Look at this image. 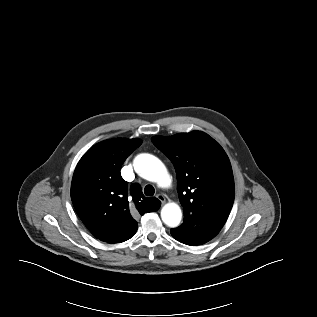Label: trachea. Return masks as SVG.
I'll use <instances>...</instances> for the list:
<instances>
[{
    "label": "trachea",
    "instance_id": "1",
    "mask_svg": "<svg viewBox=\"0 0 317 317\" xmlns=\"http://www.w3.org/2000/svg\"><path fill=\"white\" fill-rule=\"evenodd\" d=\"M144 193L146 196H153L155 193V189L152 185H147L144 189Z\"/></svg>",
    "mask_w": 317,
    "mask_h": 317
}]
</instances>
